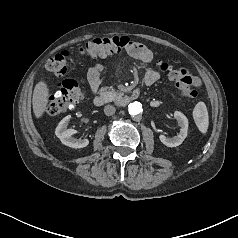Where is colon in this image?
<instances>
[{"label": "colon", "instance_id": "1", "mask_svg": "<svg viewBox=\"0 0 238 238\" xmlns=\"http://www.w3.org/2000/svg\"><path fill=\"white\" fill-rule=\"evenodd\" d=\"M138 44L127 36L97 37L82 44L78 51L86 56L103 57L123 51H132ZM70 56V51H61L46 61L45 68L56 75H65L68 71ZM157 65L162 72L168 74L183 97H197L196 88L199 86V81L192 77L186 68L173 66L167 61H158ZM82 98L81 81L73 78L65 79L58 90L49 95L46 112L49 115H58L73 109Z\"/></svg>", "mask_w": 238, "mask_h": 238}]
</instances>
